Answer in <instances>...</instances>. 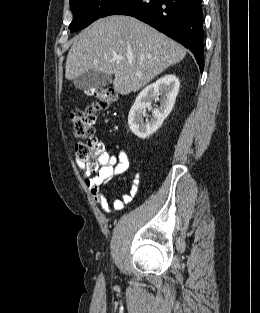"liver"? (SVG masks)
Returning a JSON list of instances; mask_svg holds the SVG:
<instances>
[{"label":"liver","mask_w":260,"mask_h":313,"mask_svg":"<svg viewBox=\"0 0 260 313\" xmlns=\"http://www.w3.org/2000/svg\"><path fill=\"white\" fill-rule=\"evenodd\" d=\"M186 52L179 43L136 18L110 16L98 19L73 39L65 76L74 80L91 70L113 74L114 90L128 95L180 62Z\"/></svg>","instance_id":"6515ba94"}]
</instances>
